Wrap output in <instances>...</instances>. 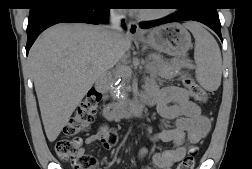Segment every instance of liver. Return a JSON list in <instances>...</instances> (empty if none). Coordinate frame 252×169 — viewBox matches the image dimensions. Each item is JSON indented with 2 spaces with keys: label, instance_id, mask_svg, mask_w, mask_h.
Listing matches in <instances>:
<instances>
[{
  "label": "liver",
  "instance_id": "liver-1",
  "mask_svg": "<svg viewBox=\"0 0 252 169\" xmlns=\"http://www.w3.org/2000/svg\"><path fill=\"white\" fill-rule=\"evenodd\" d=\"M129 35L119 42L106 28L61 23L45 30L29 52V65L45 133L54 142L82 99L131 48Z\"/></svg>",
  "mask_w": 252,
  "mask_h": 169
}]
</instances>
